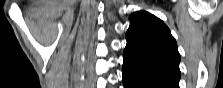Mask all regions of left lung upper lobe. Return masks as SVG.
I'll list each match as a JSON object with an SVG mask.
<instances>
[{"label": "left lung upper lobe", "instance_id": "1", "mask_svg": "<svg viewBox=\"0 0 223 88\" xmlns=\"http://www.w3.org/2000/svg\"><path fill=\"white\" fill-rule=\"evenodd\" d=\"M126 40L123 65L179 82L177 44L159 18L145 11L133 13Z\"/></svg>", "mask_w": 223, "mask_h": 88}]
</instances>
